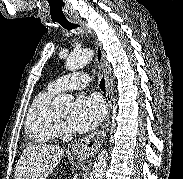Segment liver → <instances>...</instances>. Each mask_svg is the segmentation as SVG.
Segmentation results:
<instances>
[{
  "instance_id": "6515ba94",
  "label": "liver",
  "mask_w": 183,
  "mask_h": 179,
  "mask_svg": "<svg viewBox=\"0 0 183 179\" xmlns=\"http://www.w3.org/2000/svg\"><path fill=\"white\" fill-rule=\"evenodd\" d=\"M64 155L60 146L38 144L28 146L21 154L14 179H46Z\"/></svg>"
}]
</instances>
